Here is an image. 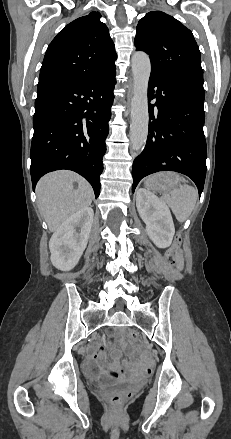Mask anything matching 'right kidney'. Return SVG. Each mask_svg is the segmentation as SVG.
Instances as JSON below:
<instances>
[{"mask_svg":"<svg viewBox=\"0 0 231 439\" xmlns=\"http://www.w3.org/2000/svg\"><path fill=\"white\" fill-rule=\"evenodd\" d=\"M94 212L87 207L70 216L52 235L49 248L52 264L60 270L74 268L89 239ZM76 227L80 232L76 233Z\"/></svg>","mask_w":231,"mask_h":439,"instance_id":"1","label":"right kidney"}]
</instances>
